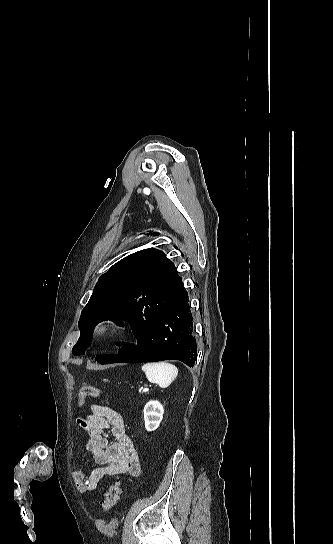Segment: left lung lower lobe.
Here are the masks:
<instances>
[{"label":"left lung lower lobe","instance_id":"1","mask_svg":"<svg viewBox=\"0 0 333 544\" xmlns=\"http://www.w3.org/2000/svg\"><path fill=\"white\" fill-rule=\"evenodd\" d=\"M186 290L155 319L132 327L136 340L126 344L116 356L97 355L101 364L140 363L167 359L180 360L192 366L197 358L193 333V315Z\"/></svg>","mask_w":333,"mask_h":544}]
</instances>
